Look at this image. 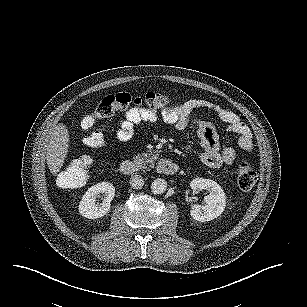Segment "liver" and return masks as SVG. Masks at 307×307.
<instances>
[{
    "label": "liver",
    "mask_w": 307,
    "mask_h": 307,
    "mask_svg": "<svg viewBox=\"0 0 307 307\" xmlns=\"http://www.w3.org/2000/svg\"><path fill=\"white\" fill-rule=\"evenodd\" d=\"M68 142V129L64 124L60 123L51 133L46 155L48 168L54 176L63 166L68 153Z\"/></svg>",
    "instance_id": "1"
}]
</instances>
